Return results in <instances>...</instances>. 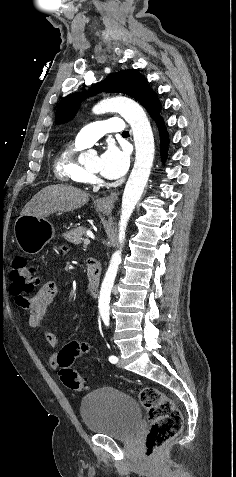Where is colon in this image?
<instances>
[{
  "label": "colon",
  "instance_id": "5ec220e1",
  "mask_svg": "<svg viewBox=\"0 0 236 477\" xmlns=\"http://www.w3.org/2000/svg\"><path fill=\"white\" fill-rule=\"evenodd\" d=\"M36 269L28 266L23 257H17L12 264V295L18 305L23 298L31 294L38 285ZM89 351V345L82 342L67 343L57 355L60 378L68 388L82 392L86 390L85 381L77 370L72 368L74 360ZM138 399L147 411L151 421L146 436V455L156 456L160 448L174 438L181 430L183 419L174 402L155 387H144L138 393Z\"/></svg>",
  "mask_w": 236,
  "mask_h": 477
}]
</instances>
